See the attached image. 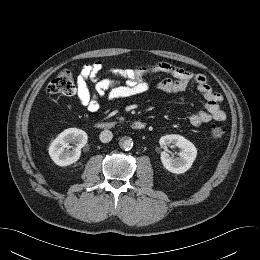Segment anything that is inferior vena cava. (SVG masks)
Segmentation results:
<instances>
[{"mask_svg": "<svg viewBox=\"0 0 260 260\" xmlns=\"http://www.w3.org/2000/svg\"><path fill=\"white\" fill-rule=\"evenodd\" d=\"M100 141L103 143L110 142L113 138V134L110 130H104L100 133Z\"/></svg>", "mask_w": 260, "mask_h": 260, "instance_id": "602c4592", "label": "inferior vena cava"}]
</instances>
